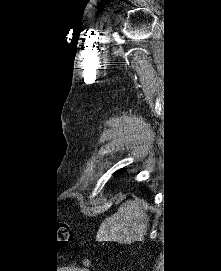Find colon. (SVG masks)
<instances>
[{"mask_svg": "<svg viewBox=\"0 0 221 271\" xmlns=\"http://www.w3.org/2000/svg\"><path fill=\"white\" fill-rule=\"evenodd\" d=\"M73 239V229L70 225H61L57 231V242L65 245Z\"/></svg>", "mask_w": 221, "mask_h": 271, "instance_id": "colon-1", "label": "colon"}]
</instances>
